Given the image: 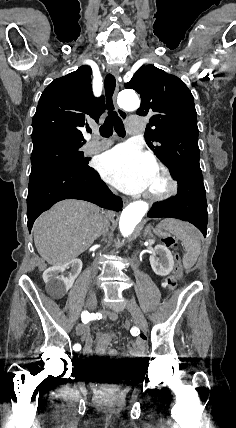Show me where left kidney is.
<instances>
[{
    "instance_id": "left-kidney-1",
    "label": "left kidney",
    "mask_w": 236,
    "mask_h": 428,
    "mask_svg": "<svg viewBox=\"0 0 236 428\" xmlns=\"http://www.w3.org/2000/svg\"><path fill=\"white\" fill-rule=\"evenodd\" d=\"M157 256H160V258H157ZM149 260L151 268L157 276H168L173 270V256L166 246H155Z\"/></svg>"
}]
</instances>
